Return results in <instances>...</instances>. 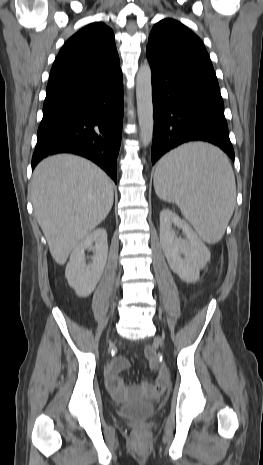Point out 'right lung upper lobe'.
Masks as SVG:
<instances>
[{"label": "right lung upper lobe", "instance_id": "cb5924a9", "mask_svg": "<svg viewBox=\"0 0 263 465\" xmlns=\"http://www.w3.org/2000/svg\"><path fill=\"white\" fill-rule=\"evenodd\" d=\"M119 72L113 31L101 22L91 23L69 38L58 53L46 91L110 78Z\"/></svg>", "mask_w": 263, "mask_h": 465}]
</instances>
